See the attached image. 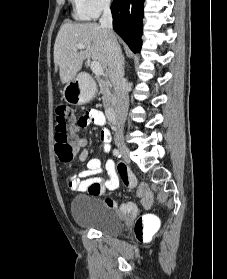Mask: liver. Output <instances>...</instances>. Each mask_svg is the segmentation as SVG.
Instances as JSON below:
<instances>
[{"instance_id": "obj_1", "label": "liver", "mask_w": 227, "mask_h": 279, "mask_svg": "<svg viewBox=\"0 0 227 279\" xmlns=\"http://www.w3.org/2000/svg\"><path fill=\"white\" fill-rule=\"evenodd\" d=\"M78 44L85 49L75 51ZM91 56L104 69L108 66L107 31L97 23H64L54 44L55 72L59 69L61 82L72 80L81 70L83 61Z\"/></svg>"}]
</instances>
